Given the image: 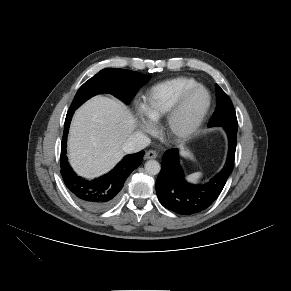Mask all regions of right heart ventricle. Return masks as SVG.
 Returning <instances> with one entry per match:
<instances>
[{"label": "right heart ventricle", "instance_id": "e07e8e85", "mask_svg": "<svg viewBox=\"0 0 291 291\" xmlns=\"http://www.w3.org/2000/svg\"><path fill=\"white\" fill-rule=\"evenodd\" d=\"M199 84L191 77H177L152 86L144 95L142 109L153 122L168 115L170 110L189 88Z\"/></svg>", "mask_w": 291, "mask_h": 291}]
</instances>
